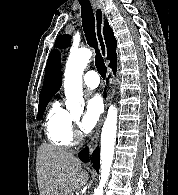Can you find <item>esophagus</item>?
Returning a JSON list of instances; mask_svg holds the SVG:
<instances>
[{
  "label": "esophagus",
  "instance_id": "1",
  "mask_svg": "<svg viewBox=\"0 0 178 195\" xmlns=\"http://www.w3.org/2000/svg\"><path fill=\"white\" fill-rule=\"evenodd\" d=\"M94 15H95V30H96V37L99 44V49L101 52V55L103 58H106L107 56V47L103 35V25H104V11L102 9V6L99 3H94ZM107 77L109 79V89L103 91V99L105 104V110L103 113L102 118L99 121V124L97 126L96 132L92 138V141L90 143V152H92L96 146L98 145L99 138H100V132H101V126L103 124V121L106 116L107 109L110 105V103L113 100L114 92H115V80L113 78V73L110 68H108Z\"/></svg>",
  "mask_w": 178,
  "mask_h": 195
}]
</instances>
